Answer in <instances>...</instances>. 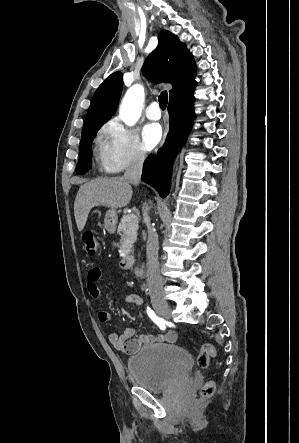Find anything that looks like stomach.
Here are the masks:
<instances>
[{
	"label": "stomach",
	"mask_w": 299,
	"mask_h": 443,
	"mask_svg": "<svg viewBox=\"0 0 299 443\" xmlns=\"http://www.w3.org/2000/svg\"><path fill=\"white\" fill-rule=\"evenodd\" d=\"M117 219V212L115 209H110L106 212L104 227L111 234L116 231Z\"/></svg>",
	"instance_id": "stomach-1"
}]
</instances>
